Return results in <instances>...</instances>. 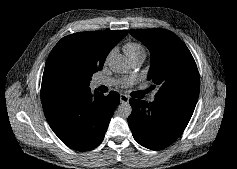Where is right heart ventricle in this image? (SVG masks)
I'll return each instance as SVG.
<instances>
[{
	"instance_id": "right-heart-ventricle-1",
	"label": "right heart ventricle",
	"mask_w": 237,
	"mask_h": 169,
	"mask_svg": "<svg viewBox=\"0 0 237 169\" xmlns=\"http://www.w3.org/2000/svg\"><path fill=\"white\" fill-rule=\"evenodd\" d=\"M124 52L131 61L136 59H145L146 48L139 42H128L124 45Z\"/></svg>"
}]
</instances>
